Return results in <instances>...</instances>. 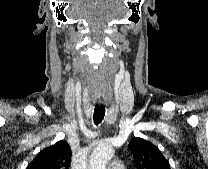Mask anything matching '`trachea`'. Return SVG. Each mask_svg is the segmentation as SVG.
<instances>
[{
  "instance_id": "1",
  "label": "trachea",
  "mask_w": 208,
  "mask_h": 169,
  "mask_svg": "<svg viewBox=\"0 0 208 169\" xmlns=\"http://www.w3.org/2000/svg\"><path fill=\"white\" fill-rule=\"evenodd\" d=\"M105 111V106H95L93 120L96 125L102 122Z\"/></svg>"
}]
</instances>
